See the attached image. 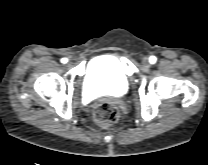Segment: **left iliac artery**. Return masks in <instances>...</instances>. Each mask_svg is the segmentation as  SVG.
Listing matches in <instances>:
<instances>
[{"label": "left iliac artery", "instance_id": "44dca946", "mask_svg": "<svg viewBox=\"0 0 208 165\" xmlns=\"http://www.w3.org/2000/svg\"><path fill=\"white\" fill-rule=\"evenodd\" d=\"M149 60H150L151 64H154L156 62L157 58L155 56H151Z\"/></svg>", "mask_w": 208, "mask_h": 165}]
</instances>
